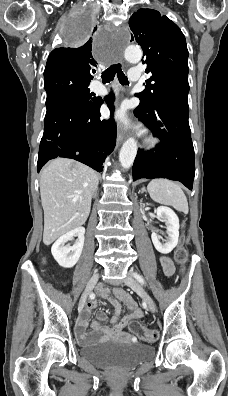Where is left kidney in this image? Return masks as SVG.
<instances>
[{
    "label": "left kidney",
    "mask_w": 228,
    "mask_h": 396,
    "mask_svg": "<svg viewBox=\"0 0 228 396\" xmlns=\"http://www.w3.org/2000/svg\"><path fill=\"white\" fill-rule=\"evenodd\" d=\"M157 218L165 222L168 238L161 242L159 236L153 232L151 239L157 251L162 254H168L178 244L179 219L175 212L166 206H159L157 208Z\"/></svg>",
    "instance_id": "left-kidney-1"
}]
</instances>
